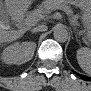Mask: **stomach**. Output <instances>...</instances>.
<instances>
[{"mask_svg":"<svg viewBox=\"0 0 91 91\" xmlns=\"http://www.w3.org/2000/svg\"><path fill=\"white\" fill-rule=\"evenodd\" d=\"M73 2L75 4H77V5H82V2L79 1V0H76V1H73ZM83 20H84V23H85V26H86L87 31H89V29H90V14L89 13L88 14H85L83 16Z\"/></svg>","mask_w":91,"mask_h":91,"instance_id":"0dacf381","label":"stomach"}]
</instances>
